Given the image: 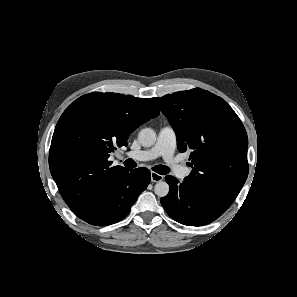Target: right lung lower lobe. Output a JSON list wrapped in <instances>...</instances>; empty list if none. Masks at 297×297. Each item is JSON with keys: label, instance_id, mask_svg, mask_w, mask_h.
<instances>
[{"label": "right lung lower lobe", "instance_id": "98d812e1", "mask_svg": "<svg viewBox=\"0 0 297 297\" xmlns=\"http://www.w3.org/2000/svg\"><path fill=\"white\" fill-rule=\"evenodd\" d=\"M150 171L146 168L130 169L104 190L82 214L85 222L106 226L119 222L131 210L138 196L150 183Z\"/></svg>", "mask_w": 297, "mask_h": 297}]
</instances>
